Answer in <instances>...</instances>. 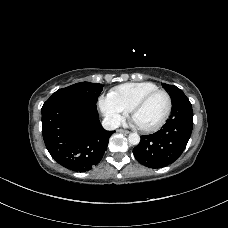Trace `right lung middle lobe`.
I'll return each mask as SVG.
<instances>
[{"instance_id":"dd1d6c3e","label":"right lung middle lobe","mask_w":228,"mask_h":228,"mask_svg":"<svg viewBox=\"0 0 228 228\" xmlns=\"http://www.w3.org/2000/svg\"><path fill=\"white\" fill-rule=\"evenodd\" d=\"M102 88L103 85L99 83L80 82L59 89L53 95L73 96L96 104Z\"/></svg>"}]
</instances>
